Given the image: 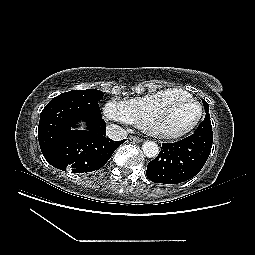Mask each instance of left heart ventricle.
I'll use <instances>...</instances> for the list:
<instances>
[{"instance_id": "b2bd125f", "label": "left heart ventricle", "mask_w": 255, "mask_h": 255, "mask_svg": "<svg viewBox=\"0 0 255 255\" xmlns=\"http://www.w3.org/2000/svg\"><path fill=\"white\" fill-rule=\"evenodd\" d=\"M197 115V107L186 100H176L170 104L156 121L159 129L178 131L188 126Z\"/></svg>"}]
</instances>
